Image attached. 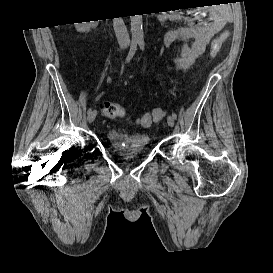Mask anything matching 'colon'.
I'll return each mask as SVG.
<instances>
[{"label": "colon", "mask_w": 273, "mask_h": 273, "mask_svg": "<svg viewBox=\"0 0 273 273\" xmlns=\"http://www.w3.org/2000/svg\"><path fill=\"white\" fill-rule=\"evenodd\" d=\"M220 53V43L217 39L211 44V57L216 58ZM104 116L112 119L122 118L125 115L123 106L115 102H106L102 106ZM167 112L163 108H155L138 119V124L142 127H149L152 123L162 120Z\"/></svg>", "instance_id": "colon-1"}]
</instances>
